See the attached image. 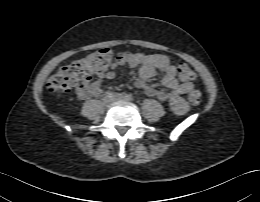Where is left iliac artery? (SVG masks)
<instances>
[{
    "label": "left iliac artery",
    "instance_id": "obj_1",
    "mask_svg": "<svg viewBox=\"0 0 260 202\" xmlns=\"http://www.w3.org/2000/svg\"><path fill=\"white\" fill-rule=\"evenodd\" d=\"M128 100H133V96L131 94H126Z\"/></svg>",
    "mask_w": 260,
    "mask_h": 202
}]
</instances>
